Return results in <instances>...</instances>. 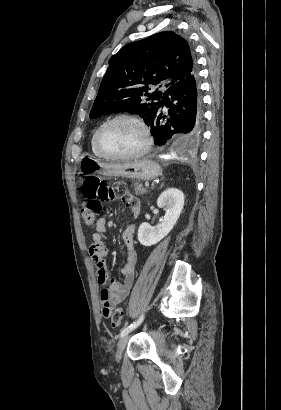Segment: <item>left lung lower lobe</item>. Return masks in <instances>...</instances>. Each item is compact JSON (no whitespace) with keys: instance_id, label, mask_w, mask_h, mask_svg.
Segmentation results:
<instances>
[{"instance_id":"left-lung-lower-lobe-1","label":"left lung lower lobe","mask_w":281,"mask_h":410,"mask_svg":"<svg viewBox=\"0 0 281 410\" xmlns=\"http://www.w3.org/2000/svg\"><path fill=\"white\" fill-rule=\"evenodd\" d=\"M197 71L171 85L158 101V112L150 123L151 134L156 145H164L174 134L184 145L196 143L201 135V98L198 87ZM168 108L166 116L160 108Z\"/></svg>"}]
</instances>
